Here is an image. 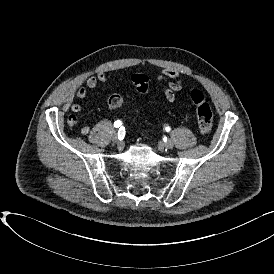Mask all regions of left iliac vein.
<instances>
[{
	"label": "left iliac vein",
	"mask_w": 274,
	"mask_h": 274,
	"mask_svg": "<svg viewBox=\"0 0 274 274\" xmlns=\"http://www.w3.org/2000/svg\"><path fill=\"white\" fill-rule=\"evenodd\" d=\"M163 146L166 148V149H172L173 146H174V143L171 139H169L168 141H166Z\"/></svg>",
	"instance_id": "4c4485c4"
}]
</instances>
